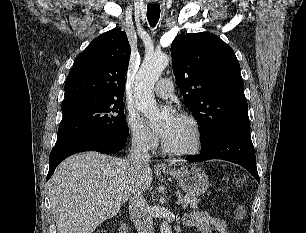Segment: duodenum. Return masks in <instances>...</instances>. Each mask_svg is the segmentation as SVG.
<instances>
[{
  "label": "duodenum",
  "mask_w": 306,
  "mask_h": 233,
  "mask_svg": "<svg viewBox=\"0 0 306 233\" xmlns=\"http://www.w3.org/2000/svg\"><path fill=\"white\" fill-rule=\"evenodd\" d=\"M120 233H128V228H127V225L125 223H122L120 225Z\"/></svg>",
  "instance_id": "1"
}]
</instances>
